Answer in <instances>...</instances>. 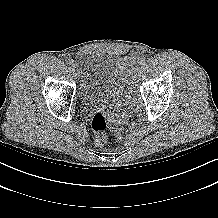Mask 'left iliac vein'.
Returning <instances> with one entry per match:
<instances>
[{
  "mask_svg": "<svg viewBox=\"0 0 218 218\" xmlns=\"http://www.w3.org/2000/svg\"><path fill=\"white\" fill-rule=\"evenodd\" d=\"M142 69V65L138 64L137 67L131 72V76L135 77L136 73H138Z\"/></svg>",
  "mask_w": 218,
  "mask_h": 218,
  "instance_id": "1",
  "label": "left iliac vein"
}]
</instances>
